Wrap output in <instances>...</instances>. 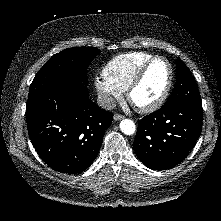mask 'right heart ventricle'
I'll list each match as a JSON object with an SVG mask.
<instances>
[{
    "label": "right heart ventricle",
    "mask_w": 221,
    "mask_h": 221,
    "mask_svg": "<svg viewBox=\"0 0 221 221\" xmlns=\"http://www.w3.org/2000/svg\"><path fill=\"white\" fill-rule=\"evenodd\" d=\"M151 57L153 55L146 52L120 54L105 65L103 76L121 91H126L136 72Z\"/></svg>",
    "instance_id": "e07e8e85"
}]
</instances>
